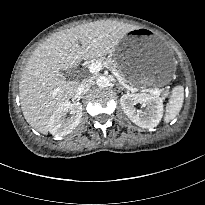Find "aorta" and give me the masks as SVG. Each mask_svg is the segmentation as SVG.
Here are the masks:
<instances>
[{
	"instance_id": "obj_1",
	"label": "aorta",
	"mask_w": 205,
	"mask_h": 205,
	"mask_svg": "<svg viewBox=\"0 0 205 205\" xmlns=\"http://www.w3.org/2000/svg\"><path fill=\"white\" fill-rule=\"evenodd\" d=\"M109 83H110L109 79L105 76H99L96 79L97 86L102 87V88L109 86Z\"/></svg>"
}]
</instances>
